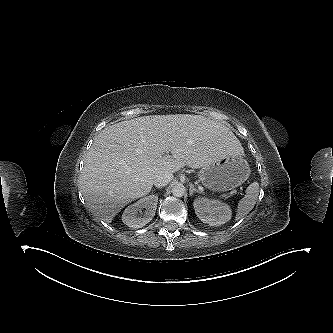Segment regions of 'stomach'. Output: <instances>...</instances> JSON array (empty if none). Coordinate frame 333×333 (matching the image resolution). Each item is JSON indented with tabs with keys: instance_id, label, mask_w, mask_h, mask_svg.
<instances>
[{
	"instance_id": "1",
	"label": "stomach",
	"mask_w": 333,
	"mask_h": 333,
	"mask_svg": "<svg viewBox=\"0 0 333 333\" xmlns=\"http://www.w3.org/2000/svg\"><path fill=\"white\" fill-rule=\"evenodd\" d=\"M250 175L247 161L240 155L218 159L199 172L201 183L214 191H227L243 184Z\"/></svg>"
}]
</instances>
